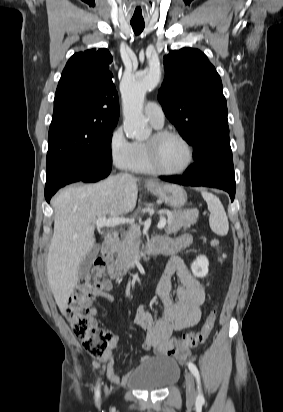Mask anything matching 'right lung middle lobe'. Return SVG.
I'll list each match as a JSON object with an SVG mask.
<instances>
[{"mask_svg": "<svg viewBox=\"0 0 283 412\" xmlns=\"http://www.w3.org/2000/svg\"><path fill=\"white\" fill-rule=\"evenodd\" d=\"M113 128H103L94 119L75 113L53 117L49 129L47 170L65 163H111Z\"/></svg>", "mask_w": 283, "mask_h": 412, "instance_id": "dd1d6c3e", "label": "right lung middle lobe"}]
</instances>
